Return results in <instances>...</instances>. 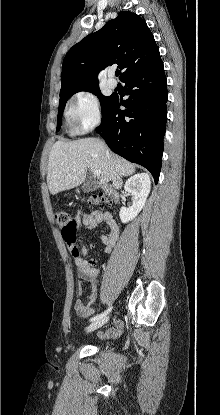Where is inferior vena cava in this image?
I'll list each match as a JSON object with an SVG mask.
<instances>
[{
    "mask_svg": "<svg viewBox=\"0 0 220 415\" xmlns=\"http://www.w3.org/2000/svg\"><path fill=\"white\" fill-rule=\"evenodd\" d=\"M120 183H121L120 177H117L113 180V185L115 186V188H118Z\"/></svg>",
    "mask_w": 220,
    "mask_h": 415,
    "instance_id": "1",
    "label": "inferior vena cava"
}]
</instances>
